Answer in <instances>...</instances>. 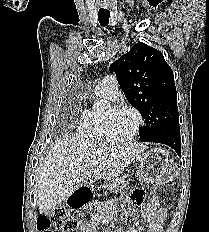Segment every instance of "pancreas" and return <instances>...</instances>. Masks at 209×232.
<instances>
[{"label":"pancreas","instance_id":"pancreas-1","mask_svg":"<svg viewBox=\"0 0 209 232\" xmlns=\"http://www.w3.org/2000/svg\"><path fill=\"white\" fill-rule=\"evenodd\" d=\"M121 183H122V182H121ZM123 188H124L123 186H120V185H118V184H111V185L107 186L106 190H105L102 194H98V197L103 196V195L106 196L109 192H112L114 189H115L116 192H119V191H121ZM97 203H98V200H96V201H94L93 203H91V204L89 205V207L91 208L92 205H96ZM110 203L113 204L114 201H110Z\"/></svg>","mask_w":209,"mask_h":232}]
</instances>
